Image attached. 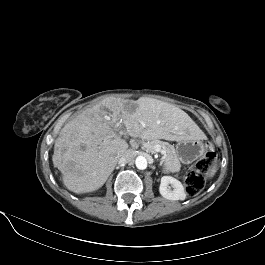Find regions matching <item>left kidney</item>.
<instances>
[{
  "mask_svg": "<svg viewBox=\"0 0 265 265\" xmlns=\"http://www.w3.org/2000/svg\"><path fill=\"white\" fill-rule=\"evenodd\" d=\"M173 190H171L170 186ZM160 194L168 200H184L186 198V192L182 183L174 177L163 176L159 186Z\"/></svg>",
  "mask_w": 265,
  "mask_h": 265,
  "instance_id": "left-kidney-1",
  "label": "left kidney"
}]
</instances>
